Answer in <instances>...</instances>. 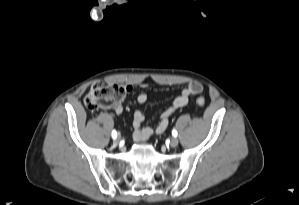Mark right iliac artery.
Masks as SVG:
<instances>
[{"mask_svg":"<svg viewBox=\"0 0 299 205\" xmlns=\"http://www.w3.org/2000/svg\"><path fill=\"white\" fill-rule=\"evenodd\" d=\"M117 137V133L115 130L112 131V138L115 139Z\"/></svg>","mask_w":299,"mask_h":205,"instance_id":"82829eb1","label":"right iliac artery"}]
</instances>
